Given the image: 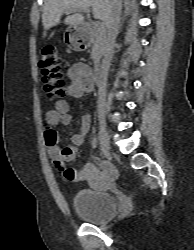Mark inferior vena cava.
Returning <instances> with one entry per match:
<instances>
[{"label":"inferior vena cava","mask_w":194,"mask_h":250,"mask_svg":"<svg viewBox=\"0 0 194 250\" xmlns=\"http://www.w3.org/2000/svg\"><path fill=\"white\" fill-rule=\"evenodd\" d=\"M120 11H121L120 0H114V6L112 8L109 21L107 24V38L105 40L104 58L102 61L101 71L99 76L98 100H97V112L99 120H104L105 116L107 77L113 55L114 44L120 25Z\"/></svg>","instance_id":"602c4592"}]
</instances>
